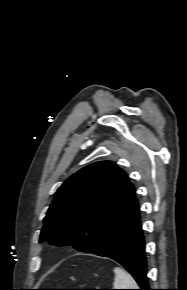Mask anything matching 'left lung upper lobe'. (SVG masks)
Here are the masks:
<instances>
[{
  "label": "left lung upper lobe",
  "mask_w": 187,
  "mask_h": 290,
  "mask_svg": "<svg viewBox=\"0 0 187 290\" xmlns=\"http://www.w3.org/2000/svg\"><path fill=\"white\" fill-rule=\"evenodd\" d=\"M136 199L126 173L110 161L90 164L55 193L44 218L40 242L73 245L91 253L127 213Z\"/></svg>",
  "instance_id": "5c2ea615"
}]
</instances>
